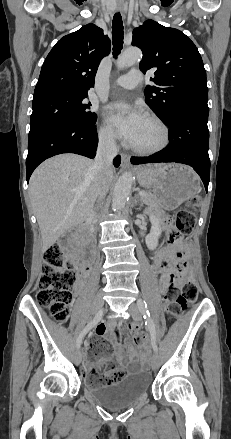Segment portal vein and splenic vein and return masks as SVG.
<instances>
[{
  "instance_id": "portal-vein-and-splenic-vein-1",
  "label": "portal vein and splenic vein",
  "mask_w": 231,
  "mask_h": 439,
  "mask_svg": "<svg viewBox=\"0 0 231 439\" xmlns=\"http://www.w3.org/2000/svg\"><path fill=\"white\" fill-rule=\"evenodd\" d=\"M139 195H140V196H144L145 193H144L143 191H140V192H139Z\"/></svg>"
}]
</instances>
